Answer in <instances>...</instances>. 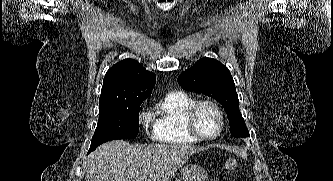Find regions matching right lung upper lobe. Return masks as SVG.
Here are the masks:
<instances>
[{
    "mask_svg": "<svg viewBox=\"0 0 333 181\" xmlns=\"http://www.w3.org/2000/svg\"><path fill=\"white\" fill-rule=\"evenodd\" d=\"M155 82V74L136 60H122L113 65L104 77L99 109L144 101L151 95Z\"/></svg>",
    "mask_w": 333,
    "mask_h": 181,
    "instance_id": "1",
    "label": "right lung upper lobe"
}]
</instances>
